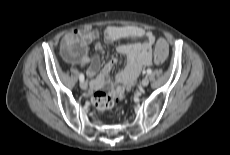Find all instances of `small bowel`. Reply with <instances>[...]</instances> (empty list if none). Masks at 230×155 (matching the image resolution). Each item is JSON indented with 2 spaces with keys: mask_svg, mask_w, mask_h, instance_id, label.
<instances>
[{
  "mask_svg": "<svg viewBox=\"0 0 230 155\" xmlns=\"http://www.w3.org/2000/svg\"><path fill=\"white\" fill-rule=\"evenodd\" d=\"M100 37L98 30L83 29L76 30L68 34L62 45V55L70 63L86 66L87 75L93 78L90 82V94L104 87L113 88L117 85H123L115 89L121 88L123 94L125 89L129 90L144 66H149L153 62L152 44L155 41V36L152 32L136 26H108L104 31V41L113 43L122 39H130L132 42L120 44L117 47L118 53L126 56V66L114 78H109L111 70L117 64V60L112 58L101 69V58H90L87 55L86 47L95 43V48L101 50L100 43L97 40ZM71 38H77L80 42L81 53L75 54L74 48L69 45ZM142 39L143 42L138 40ZM114 89V90H115Z\"/></svg>",
  "mask_w": 230,
  "mask_h": 155,
  "instance_id": "small-bowel-1",
  "label": "small bowel"
}]
</instances>
